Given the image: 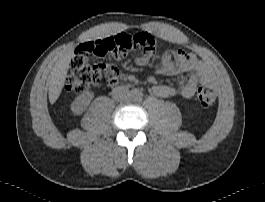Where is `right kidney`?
Masks as SVG:
<instances>
[{
    "mask_svg": "<svg viewBox=\"0 0 265 202\" xmlns=\"http://www.w3.org/2000/svg\"><path fill=\"white\" fill-rule=\"evenodd\" d=\"M93 97H94V94L92 92H89V91L83 92L73 101L71 105L72 112L75 115L82 114L88 107Z\"/></svg>",
    "mask_w": 265,
    "mask_h": 202,
    "instance_id": "right-kidney-1",
    "label": "right kidney"
}]
</instances>
